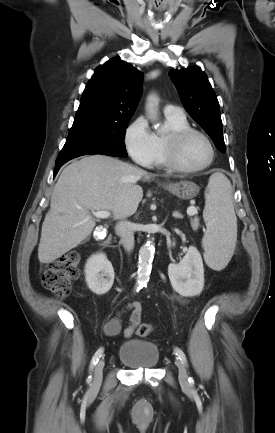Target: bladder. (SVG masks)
Segmentation results:
<instances>
[{
    "instance_id": "bladder-1",
    "label": "bladder",
    "mask_w": 275,
    "mask_h": 433,
    "mask_svg": "<svg viewBox=\"0 0 275 433\" xmlns=\"http://www.w3.org/2000/svg\"><path fill=\"white\" fill-rule=\"evenodd\" d=\"M159 348L145 340L128 339L118 350V360L135 368H152L159 361Z\"/></svg>"
}]
</instances>
